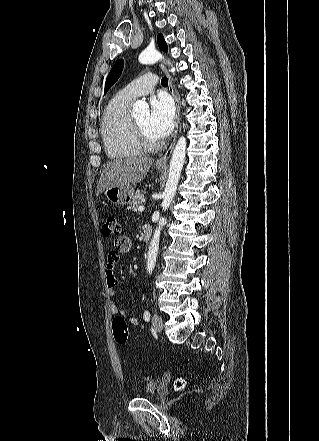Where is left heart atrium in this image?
I'll use <instances>...</instances> for the list:
<instances>
[{
	"label": "left heart atrium",
	"mask_w": 319,
	"mask_h": 441,
	"mask_svg": "<svg viewBox=\"0 0 319 441\" xmlns=\"http://www.w3.org/2000/svg\"><path fill=\"white\" fill-rule=\"evenodd\" d=\"M174 124V107L166 96H159L150 101L149 128L156 139H163L170 134Z\"/></svg>",
	"instance_id": "obj_1"
}]
</instances>
